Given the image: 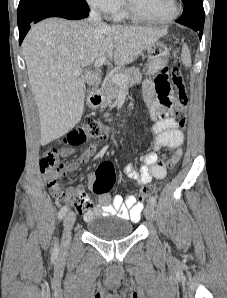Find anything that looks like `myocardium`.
<instances>
[{"label":"myocardium","mask_w":227,"mask_h":298,"mask_svg":"<svg viewBox=\"0 0 227 298\" xmlns=\"http://www.w3.org/2000/svg\"><path fill=\"white\" fill-rule=\"evenodd\" d=\"M172 5L173 10L170 15L165 18L156 19L142 15L133 7L130 0H123V10L128 17L139 22L151 24H167L175 20L180 13V4L178 0H172Z\"/></svg>","instance_id":"f54148a6"}]
</instances>
